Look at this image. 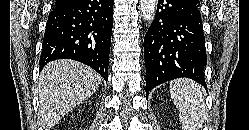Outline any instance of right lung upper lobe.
<instances>
[{
  "instance_id": "1",
  "label": "right lung upper lobe",
  "mask_w": 249,
  "mask_h": 130,
  "mask_svg": "<svg viewBox=\"0 0 249 130\" xmlns=\"http://www.w3.org/2000/svg\"><path fill=\"white\" fill-rule=\"evenodd\" d=\"M69 1H70V0H57V1L55 2V8L60 7V6L64 5V4H66V3L69 2Z\"/></svg>"
}]
</instances>
